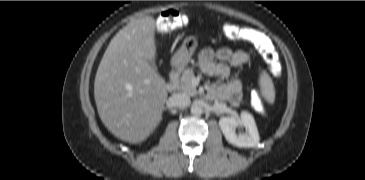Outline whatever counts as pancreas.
Wrapping results in <instances>:
<instances>
[{
	"mask_svg": "<svg viewBox=\"0 0 365 180\" xmlns=\"http://www.w3.org/2000/svg\"><path fill=\"white\" fill-rule=\"evenodd\" d=\"M194 77L195 75L192 69L185 70L179 79L178 90L189 96L197 95L196 87L192 84Z\"/></svg>",
	"mask_w": 365,
	"mask_h": 180,
	"instance_id": "cf45deb5",
	"label": "pancreas"
}]
</instances>
